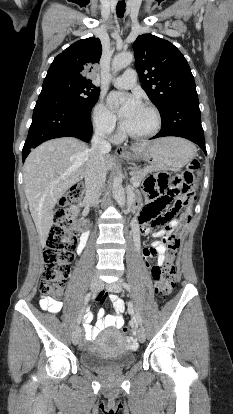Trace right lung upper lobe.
Listing matches in <instances>:
<instances>
[{"instance_id":"cb5924a9","label":"right lung upper lobe","mask_w":233,"mask_h":414,"mask_svg":"<svg viewBox=\"0 0 233 414\" xmlns=\"http://www.w3.org/2000/svg\"><path fill=\"white\" fill-rule=\"evenodd\" d=\"M101 54L102 46L98 38L79 40L54 59L46 77L61 76L91 83V80L87 79L84 74L92 64L99 63Z\"/></svg>"}]
</instances>
